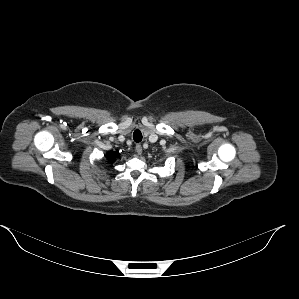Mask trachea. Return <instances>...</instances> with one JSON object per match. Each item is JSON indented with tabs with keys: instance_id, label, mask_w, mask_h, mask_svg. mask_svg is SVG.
<instances>
[{
	"instance_id": "1",
	"label": "trachea",
	"mask_w": 299,
	"mask_h": 299,
	"mask_svg": "<svg viewBox=\"0 0 299 299\" xmlns=\"http://www.w3.org/2000/svg\"><path fill=\"white\" fill-rule=\"evenodd\" d=\"M133 139L135 142H141L142 141V133L140 130H135L133 133Z\"/></svg>"
}]
</instances>
